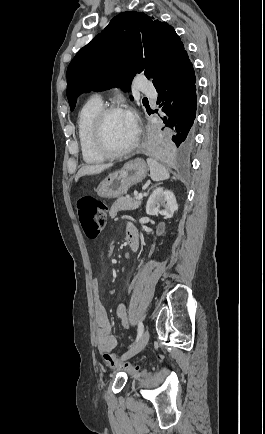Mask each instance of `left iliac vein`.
<instances>
[{
  "label": "left iliac vein",
  "instance_id": "4c4485c4",
  "mask_svg": "<svg viewBox=\"0 0 265 434\" xmlns=\"http://www.w3.org/2000/svg\"><path fill=\"white\" fill-rule=\"evenodd\" d=\"M148 341H149V331L145 330L143 332V334L141 335L138 343L132 349H130L127 353H125L122 356V360H126L129 357H131V356L137 354L138 352H140L147 345ZM122 364L123 363H119V366H121Z\"/></svg>",
  "mask_w": 265,
  "mask_h": 434
}]
</instances>
